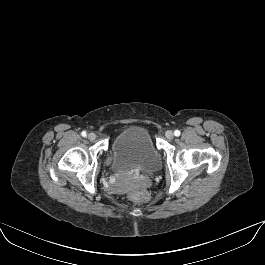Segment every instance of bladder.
Returning <instances> with one entry per match:
<instances>
[{
  "instance_id": "obj_1",
  "label": "bladder",
  "mask_w": 265,
  "mask_h": 265,
  "mask_svg": "<svg viewBox=\"0 0 265 265\" xmlns=\"http://www.w3.org/2000/svg\"><path fill=\"white\" fill-rule=\"evenodd\" d=\"M108 163L113 172L133 168L156 172L161 166V157L149 132L140 126H130L120 131L113 139L109 148Z\"/></svg>"
}]
</instances>
